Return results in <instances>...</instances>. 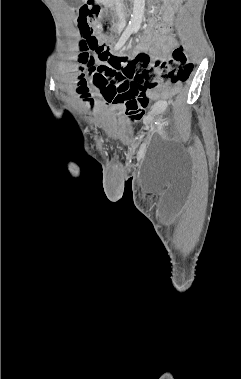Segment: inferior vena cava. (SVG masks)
I'll use <instances>...</instances> for the list:
<instances>
[{
  "label": "inferior vena cava",
  "instance_id": "1",
  "mask_svg": "<svg viewBox=\"0 0 241 379\" xmlns=\"http://www.w3.org/2000/svg\"><path fill=\"white\" fill-rule=\"evenodd\" d=\"M123 0H116L115 1V4H116V11H117V14H118V17H119V23H118V30L119 32H121L123 30V28L125 27V18H124V14H123Z\"/></svg>",
  "mask_w": 241,
  "mask_h": 379
}]
</instances>
